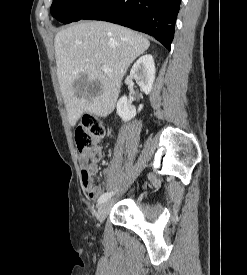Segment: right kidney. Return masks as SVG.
<instances>
[{"instance_id": "obj_1", "label": "right kidney", "mask_w": 247, "mask_h": 275, "mask_svg": "<svg viewBox=\"0 0 247 275\" xmlns=\"http://www.w3.org/2000/svg\"><path fill=\"white\" fill-rule=\"evenodd\" d=\"M155 74L156 69L152 55L140 57L130 71V75L138 82V85L145 94L151 92ZM142 108L143 105H139L138 112L141 111ZM117 114L125 122L131 120L137 114L136 108L128 101L125 95L117 102Z\"/></svg>"}]
</instances>
